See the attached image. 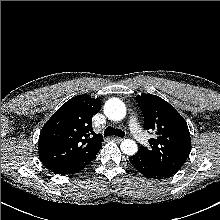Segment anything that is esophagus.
I'll list each match as a JSON object with an SVG mask.
<instances>
[{
    "mask_svg": "<svg viewBox=\"0 0 220 220\" xmlns=\"http://www.w3.org/2000/svg\"><path fill=\"white\" fill-rule=\"evenodd\" d=\"M111 139L115 142H121L123 140V138H119V137H111Z\"/></svg>",
    "mask_w": 220,
    "mask_h": 220,
    "instance_id": "esophagus-1",
    "label": "esophagus"
}]
</instances>
